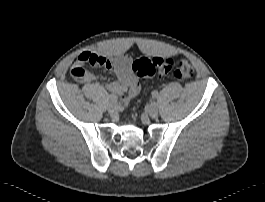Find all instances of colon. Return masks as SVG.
<instances>
[{
    "instance_id": "1",
    "label": "colon",
    "mask_w": 265,
    "mask_h": 202,
    "mask_svg": "<svg viewBox=\"0 0 265 202\" xmlns=\"http://www.w3.org/2000/svg\"><path fill=\"white\" fill-rule=\"evenodd\" d=\"M132 69L139 77L146 79L170 75L176 80L185 81L195 75L193 66L187 60L175 61L169 57H140L133 62ZM71 74L76 79H83L86 71L82 66H77L71 70Z\"/></svg>"
}]
</instances>
